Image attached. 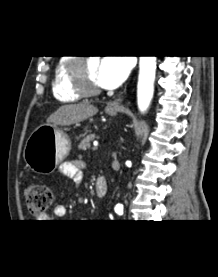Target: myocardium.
<instances>
[{
	"mask_svg": "<svg viewBox=\"0 0 218 277\" xmlns=\"http://www.w3.org/2000/svg\"><path fill=\"white\" fill-rule=\"evenodd\" d=\"M87 59L74 60L69 66L72 88L81 96L97 95L101 92L98 85L91 84L87 76Z\"/></svg>",
	"mask_w": 218,
	"mask_h": 277,
	"instance_id": "1",
	"label": "myocardium"
}]
</instances>
